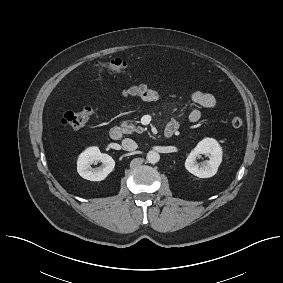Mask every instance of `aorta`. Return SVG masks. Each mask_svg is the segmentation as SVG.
<instances>
[{"label": "aorta", "instance_id": "1", "mask_svg": "<svg viewBox=\"0 0 283 283\" xmlns=\"http://www.w3.org/2000/svg\"><path fill=\"white\" fill-rule=\"evenodd\" d=\"M147 161L151 164H155L160 160V155L158 152L151 150L147 153Z\"/></svg>", "mask_w": 283, "mask_h": 283}]
</instances>
